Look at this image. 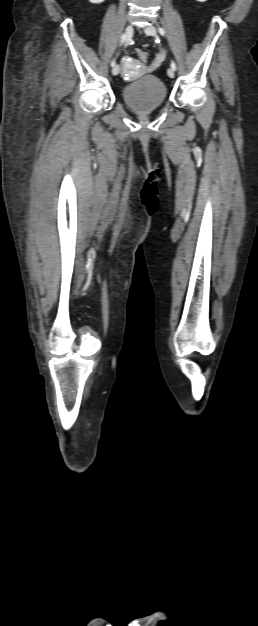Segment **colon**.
<instances>
[{"label":"colon","instance_id":"colon-1","mask_svg":"<svg viewBox=\"0 0 258 626\" xmlns=\"http://www.w3.org/2000/svg\"><path fill=\"white\" fill-rule=\"evenodd\" d=\"M136 53H137L138 58H139L141 61L145 62V61L147 60L148 55H147V53H146L145 51H143V50H141V49H138V50L136 51Z\"/></svg>","mask_w":258,"mask_h":626}]
</instances>
